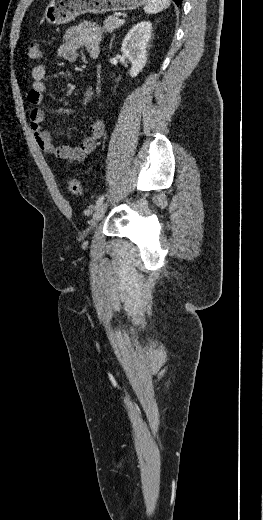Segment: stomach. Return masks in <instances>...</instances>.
I'll return each mask as SVG.
<instances>
[{
  "label": "stomach",
  "mask_w": 263,
  "mask_h": 520,
  "mask_svg": "<svg viewBox=\"0 0 263 520\" xmlns=\"http://www.w3.org/2000/svg\"><path fill=\"white\" fill-rule=\"evenodd\" d=\"M145 3L146 0H52L45 9L44 19L60 25L86 13L132 10Z\"/></svg>",
  "instance_id": "1"
}]
</instances>
